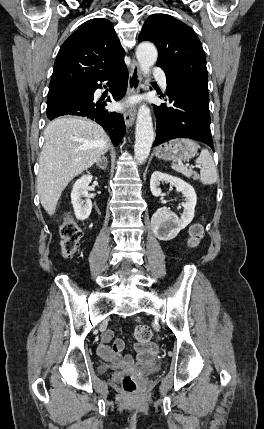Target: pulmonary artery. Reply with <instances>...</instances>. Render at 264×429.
<instances>
[{
	"mask_svg": "<svg viewBox=\"0 0 264 429\" xmlns=\"http://www.w3.org/2000/svg\"><path fill=\"white\" fill-rule=\"evenodd\" d=\"M152 73L159 81L161 87L166 89L167 81H166L165 73L160 68H154Z\"/></svg>",
	"mask_w": 264,
	"mask_h": 429,
	"instance_id": "pulmonary-artery-1",
	"label": "pulmonary artery"
}]
</instances>
